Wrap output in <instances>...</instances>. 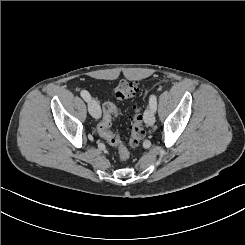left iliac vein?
I'll return each instance as SVG.
<instances>
[{
    "instance_id": "left-iliac-vein-1",
    "label": "left iliac vein",
    "mask_w": 245,
    "mask_h": 245,
    "mask_svg": "<svg viewBox=\"0 0 245 245\" xmlns=\"http://www.w3.org/2000/svg\"><path fill=\"white\" fill-rule=\"evenodd\" d=\"M144 121L147 125L151 126L155 122L154 111L151 108H148L144 113Z\"/></svg>"
}]
</instances>
